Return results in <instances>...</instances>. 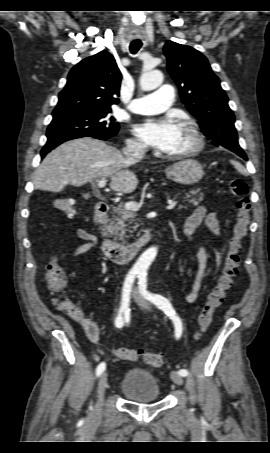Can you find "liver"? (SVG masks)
<instances>
[{
	"instance_id": "liver-1",
	"label": "liver",
	"mask_w": 270,
	"mask_h": 453,
	"mask_svg": "<svg viewBox=\"0 0 270 453\" xmlns=\"http://www.w3.org/2000/svg\"><path fill=\"white\" fill-rule=\"evenodd\" d=\"M122 153L105 142L91 137L67 141L51 151L33 177L35 189L61 192L68 184L82 186L95 179L110 177V188L131 193L138 179Z\"/></svg>"
}]
</instances>
